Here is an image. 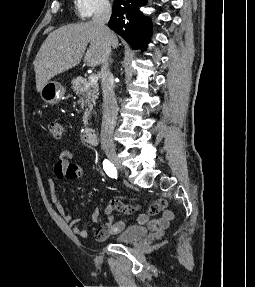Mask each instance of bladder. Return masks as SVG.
Segmentation results:
<instances>
[{"label": "bladder", "mask_w": 255, "mask_h": 287, "mask_svg": "<svg viewBox=\"0 0 255 287\" xmlns=\"http://www.w3.org/2000/svg\"><path fill=\"white\" fill-rule=\"evenodd\" d=\"M147 228L140 225H129L112 237L117 243H131L142 239L147 235Z\"/></svg>", "instance_id": "31cf9c89"}]
</instances>
